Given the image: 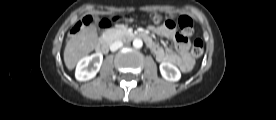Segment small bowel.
Masks as SVG:
<instances>
[{
  "label": "small bowel",
  "mask_w": 276,
  "mask_h": 120,
  "mask_svg": "<svg viewBox=\"0 0 276 120\" xmlns=\"http://www.w3.org/2000/svg\"><path fill=\"white\" fill-rule=\"evenodd\" d=\"M149 30L155 32L162 38L171 40L175 44V50H173L156 43L149 34H145L150 40L148 46L158 61L176 64L185 73L192 69L193 59L189 53V42L186 38L180 37L174 27L169 28L166 25L160 27L151 26Z\"/></svg>",
  "instance_id": "c3829d8e"
}]
</instances>
